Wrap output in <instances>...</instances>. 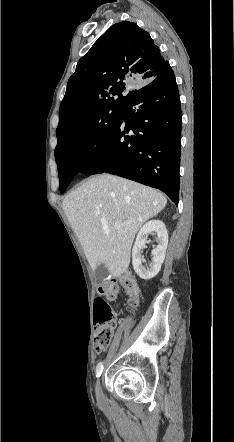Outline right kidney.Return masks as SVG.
Wrapping results in <instances>:
<instances>
[{
  "instance_id": "ca27d5eb",
  "label": "right kidney",
  "mask_w": 234,
  "mask_h": 442,
  "mask_svg": "<svg viewBox=\"0 0 234 442\" xmlns=\"http://www.w3.org/2000/svg\"><path fill=\"white\" fill-rule=\"evenodd\" d=\"M149 234L157 235V246L151 251L152 261L149 266L142 265V250ZM168 245V233L165 224L161 220H150L144 224L138 232L135 244L132 249V265L137 275L144 280L155 277L165 259V252Z\"/></svg>"
}]
</instances>
